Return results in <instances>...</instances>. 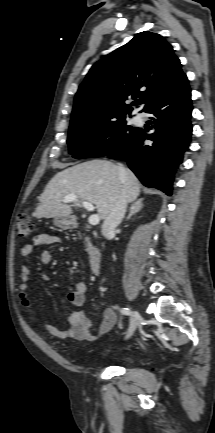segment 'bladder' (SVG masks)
<instances>
[{
    "label": "bladder",
    "mask_w": 215,
    "mask_h": 433,
    "mask_svg": "<svg viewBox=\"0 0 215 433\" xmlns=\"http://www.w3.org/2000/svg\"><path fill=\"white\" fill-rule=\"evenodd\" d=\"M99 357L103 360L120 362L122 364H129L135 360V356L129 353H116L109 349H104L100 352Z\"/></svg>",
    "instance_id": "bladder-1"
}]
</instances>
